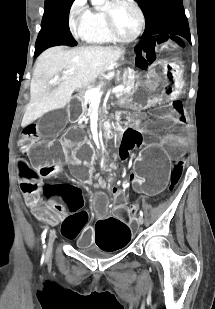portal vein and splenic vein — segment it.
<instances>
[{"label":"portal vein and splenic vein","mask_w":215,"mask_h":309,"mask_svg":"<svg viewBox=\"0 0 215 309\" xmlns=\"http://www.w3.org/2000/svg\"><path fill=\"white\" fill-rule=\"evenodd\" d=\"M63 74H65V70H63ZM123 90L124 86L112 88V92H116V94H122ZM85 94H89V96H102L103 92H100V88H91V90H86Z\"/></svg>","instance_id":"1"}]
</instances>
